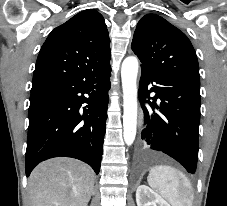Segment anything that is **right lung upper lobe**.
Here are the masks:
<instances>
[{
    "instance_id": "cb5924a9",
    "label": "right lung upper lobe",
    "mask_w": 227,
    "mask_h": 206,
    "mask_svg": "<svg viewBox=\"0 0 227 206\" xmlns=\"http://www.w3.org/2000/svg\"><path fill=\"white\" fill-rule=\"evenodd\" d=\"M109 34L102 15L84 10L48 35L37 58L33 84L51 82L101 68L111 58Z\"/></svg>"
}]
</instances>
